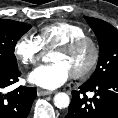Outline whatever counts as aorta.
I'll use <instances>...</instances> for the list:
<instances>
[{"label": "aorta", "mask_w": 118, "mask_h": 118, "mask_svg": "<svg viewBox=\"0 0 118 118\" xmlns=\"http://www.w3.org/2000/svg\"><path fill=\"white\" fill-rule=\"evenodd\" d=\"M54 105L59 109H65L70 104V98L68 94L64 92L57 93L53 98Z\"/></svg>", "instance_id": "aorta-1"}]
</instances>
